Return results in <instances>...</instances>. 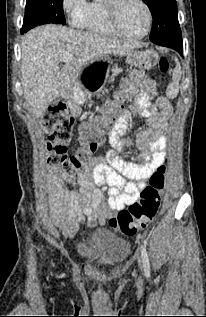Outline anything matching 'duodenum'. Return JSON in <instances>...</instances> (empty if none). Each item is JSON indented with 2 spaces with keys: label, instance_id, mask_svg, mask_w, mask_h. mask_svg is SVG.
Returning <instances> with one entry per match:
<instances>
[{
  "label": "duodenum",
  "instance_id": "duodenum-1",
  "mask_svg": "<svg viewBox=\"0 0 206 317\" xmlns=\"http://www.w3.org/2000/svg\"><path fill=\"white\" fill-rule=\"evenodd\" d=\"M82 102L81 100H70L69 101V106L71 109V114L72 115H79L80 111L82 109Z\"/></svg>",
  "mask_w": 206,
  "mask_h": 317
}]
</instances>
